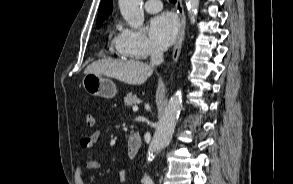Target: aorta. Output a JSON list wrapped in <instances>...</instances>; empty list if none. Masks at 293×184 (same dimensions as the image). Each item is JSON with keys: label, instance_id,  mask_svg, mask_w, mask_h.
Segmentation results:
<instances>
[{"label": "aorta", "instance_id": "aorta-1", "mask_svg": "<svg viewBox=\"0 0 293 184\" xmlns=\"http://www.w3.org/2000/svg\"><path fill=\"white\" fill-rule=\"evenodd\" d=\"M120 12L125 21L134 29H138L144 22V11L142 9V0H118ZM188 14L191 22H195L198 12L199 0H186ZM182 109V93L177 92L173 95L157 123L153 139L148 147L147 161H153L155 155L164 149L170 142L176 121ZM144 184H153L152 179L145 175Z\"/></svg>", "mask_w": 293, "mask_h": 184}]
</instances>
